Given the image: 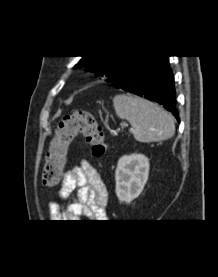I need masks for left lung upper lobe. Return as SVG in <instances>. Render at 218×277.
Listing matches in <instances>:
<instances>
[{"label": "left lung upper lobe", "mask_w": 218, "mask_h": 277, "mask_svg": "<svg viewBox=\"0 0 218 277\" xmlns=\"http://www.w3.org/2000/svg\"><path fill=\"white\" fill-rule=\"evenodd\" d=\"M135 56H83L76 64L93 72L96 76L108 78L116 71L121 70Z\"/></svg>", "instance_id": "left-lung-upper-lobe-1"}]
</instances>
